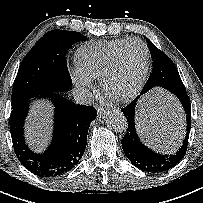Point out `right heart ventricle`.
I'll return each mask as SVG.
<instances>
[{"instance_id": "1", "label": "right heart ventricle", "mask_w": 203, "mask_h": 203, "mask_svg": "<svg viewBox=\"0 0 203 203\" xmlns=\"http://www.w3.org/2000/svg\"><path fill=\"white\" fill-rule=\"evenodd\" d=\"M127 40L117 39L82 45L75 54L77 68L89 78L101 80L115 53Z\"/></svg>"}]
</instances>
